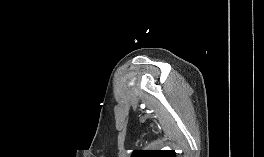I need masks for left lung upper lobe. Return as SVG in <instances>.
<instances>
[{"instance_id":"obj_1","label":"left lung upper lobe","mask_w":264,"mask_h":157,"mask_svg":"<svg viewBox=\"0 0 264 157\" xmlns=\"http://www.w3.org/2000/svg\"><path fill=\"white\" fill-rule=\"evenodd\" d=\"M131 157H176L172 150H135Z\"/></svg>"}]
</instances>
